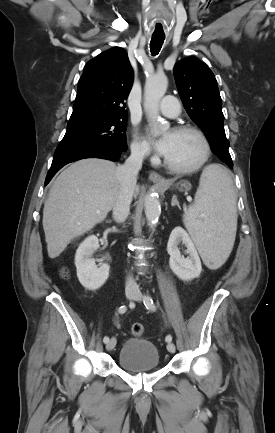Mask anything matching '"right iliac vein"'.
I'll use <instances>...</instances> for the list:
<instances>
[{
    "label": "right iliac vein",
    "mask_w": 275,
    "mask_h": 433,
    "mask_svg": "<svg viewBox=\"0 0 275 433\" xmlns=\"http://www.w3.org/2000/svg\"><path fill=\"white\" fill-rule=\"evenodd\" d=\"M135 296L134 292L127 291L126 297L127 299H132ZM116 346V338L112 337L106 344V350L111 351Z\"/></svg>",
    "instance_id": "63e3f726"
}]
</instances>
